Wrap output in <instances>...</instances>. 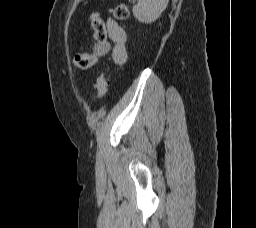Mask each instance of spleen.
<instances>
[{"instance_id":"1","label":"spleen","mask_w":256,"mask_h":228,"mask_svg":"<svg viewBox=\"0 0 256 228\" xmlns=\"http://www.w3.org/2000/svg\"><path fill=\"white\" fill-rule=\"evenodd\" d=\"M169 0H138L133 6L134 17L142 23L154 22L166 9Z\"/></svg>"}]
</instances>
